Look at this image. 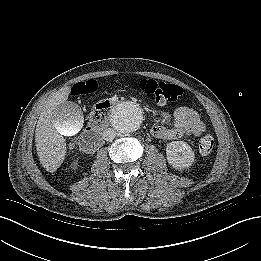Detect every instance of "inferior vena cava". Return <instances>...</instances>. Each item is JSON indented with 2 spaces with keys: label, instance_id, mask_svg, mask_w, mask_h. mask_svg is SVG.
<instances>
[{
  "label": "inferior vena cava",
  "instance_id": "obj_1",
  "mask_svg": "<svg viewBox=\"0 0 261 261\" xmlns=\"http://www.w3.org/2000/svg\"><path fill=\"white\" fill-rule=\"evenodd\" d=\"M116 136V131L112 128H107L103 131V139L106 141H112Z\"/></svg>",
  "mask_w": 261,
  "mask_h": 261
}]
</instances>
